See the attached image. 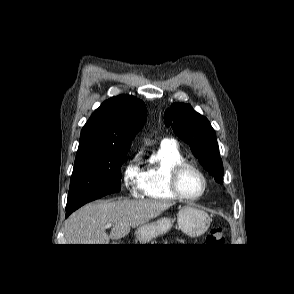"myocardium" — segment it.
<instances>
[{
  "instance_id": "myocardium-1",
  "label": "myocardium",
  "mask_w": 294,
  "mask_h": 294,
  "mask_svg": "<svg viewBox=\"0 0 294 294\" xmlns=\"http://www.w3.org/2000/svg\"><path fill=\"white\" fill-rule=\"evenodd\" d=\"M191 169L195 171L202 179V189L200 193L196 196H188L184 194L180 188V177L182 173L187 170ZM208 185L207 177L205 173L194 163L189 161H180L174 164L170 170L169 174V188L172 191V193L179 199L184 201H196L200 199L206 192Z\"/></svg>"
}]
</instances>
